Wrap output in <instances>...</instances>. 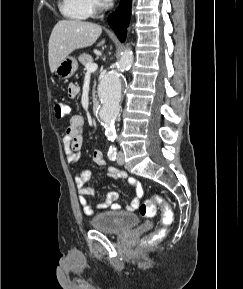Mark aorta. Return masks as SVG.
Masks as SVG:
<instances>
[{
	"mask_svg": "<svg viewBox=\"0 0 243 289\" xmlns=\"http://www.w3.org/2000/svg\"><path fill=\"white\" fill-rule=\"evenodd\" d=\"M134 61L133 52L130 47H126L121 54L116 68L107 73L98 86V97L100 100L99 118L105 128V136L111 142L116 138L115 120L120 112L123 82L121 75L128 70ZM110 151H116L115 146L110 147Z\"/></svg>",
	"mask_w": 243,
	"mask_h": 289,
	"instance_id": "aorta-1",
	"label": "aorta"
}]
</instances>
